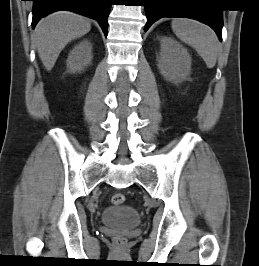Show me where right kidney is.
<instances>
[{"instance_id":"obj_1","label":"right kidney","mask_w":259,"mask_h":266,"mask_svg":"<svg viewBox=\"0 0 259 266\" xmlns=\"http://www.w3.org/2000/svg\"><path fill=\"white\" fill-rule=\"evenodd\" d=\"M92 61V44L88 40H83L77 44L70 52L67 59V68L71 73L84 70Z\"/></svg>"}]
</instances>
